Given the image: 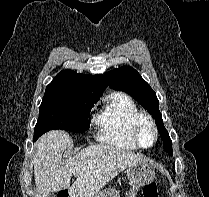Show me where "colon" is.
<instances>
[{"label": "colon", "mask_w": 209, "mask_h": 197, "mask_svg": "<svg viewBox=\"0 0 209 197\" xmlns=\"http://www.w3.org/2000/svg\"><path fill=\"white\" fill-rule=\"evenodd\" d=\"M144 197H159L158 187L155 182L148 183L143 189ZM57 197H69L67 193L61 192Z\"/></svg>", "instance_id": "colon-1"}]
</instances>
